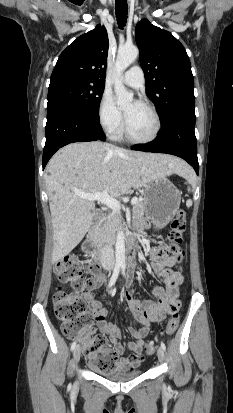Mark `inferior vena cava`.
<instances>
[{
    "instance_id": "1",
    "label": "inferior vena cava",
    "mask_w": 233,
    "mask_h": 413,
    "mask_svg": "<svg viewBox=\"0 0 233 413\" xmlns=\"http://www.w3.org/2000/svg\"><path fill=\"white\" fill-rule=\"evenodd\" d=\"M100 261L103 269L110 271L114 268L115 259L112 246L106 245L102 248Z\"/></svg>"
}]
</instances>
